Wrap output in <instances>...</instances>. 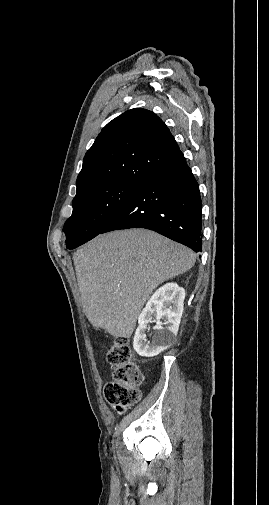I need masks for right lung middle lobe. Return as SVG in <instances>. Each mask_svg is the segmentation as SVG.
<instances>
[{
  "mask_svg": "<svg viewBox=\"0 0 269 505\" xmlns=\"http://www.w3.org/2000/svg\"><path fill=\"white\" fill-rule=\"evenodd\" d=\"M140 186L104 183L76 194L72 215L63 228L66 247L74 249L100 234Z\"/></svg>",
  "mask_w": 269,
  "mask_h": 505,
  "instance_id": "dd1d6c3e",
  "label": "right lung middle lobe"
}]
</instances>
